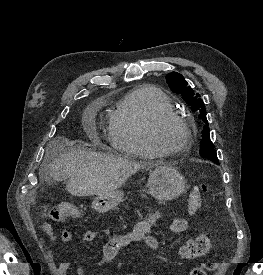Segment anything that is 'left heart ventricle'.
I'll return each mask as SVG.
<instances>
[{
  "label": "left heart ventricle",
  "instance_id": "1",
  "mask_svg": "<svg viewBox=\"0 0 263 275\" xmlns=\"http://www.w3.org/2000/svg\"><path fill=\"white\" fill-rule=\"evenodd\" d=\"M157 137L163 146L174 148L183 143L186 130L179 122L169 121L159 128Z\"/></svg>",
  "mask_w": 263,
  "mask_h": 275
}]
</instances>
